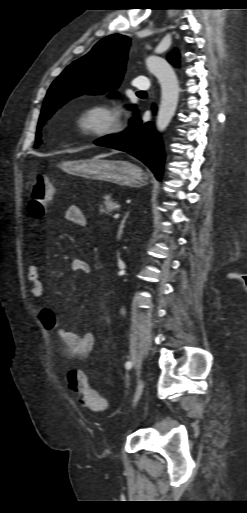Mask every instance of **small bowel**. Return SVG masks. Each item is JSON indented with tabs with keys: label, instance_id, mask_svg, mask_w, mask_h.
<instances>
[{
	"label": "small bowel",
	"instance_id": "small-bowel-1",
	"mask_svg": "<svg viewBox=\"0 0 247 513\" xmlns=\"http://www.w3.org/2000/svg\"><path fill=\"white\" fill-rule=\"evenodd\" d=\"M66 221L86 227V219L77 206H69L65 211ZM73 271H82L89 274L90 265L82 260H75L72 263ZM29 280V292L36 298H44L46 285L43 280L42 269L38 265H30L27 271ZM37 317L42 325L49 331L55 333L60 340L61 351L67 359L84 360L89 357L95 345V336L92 332L78 333L61 324L56 315V310L50 306H43Z\"/></svg>",
	"mask_w": 247,
	"mask_h": 513
}]
</instances>
